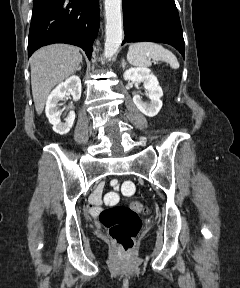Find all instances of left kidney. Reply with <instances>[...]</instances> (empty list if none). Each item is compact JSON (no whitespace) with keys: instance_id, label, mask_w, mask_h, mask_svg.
<instances>
[{"instance_id":"obj_1","label":"left kidney","mask_w":240,"mask_h":288,"mask_svg":"<svg viewBox=\"0 0 240 288\" xmlns=\"http://www.w3.org/2000/svg\"><path fill=\"white\" fill-rule=\"evenodd\" d=\"M123 76L126 81L136 84L143 83L144 88L148 91L150 102H144L140 95H135L133 102L144 115L156 116L162 107L160 98L163 96L156 76L146 67L130 68L124 72Z\"/></svg>"}]
</instances>
